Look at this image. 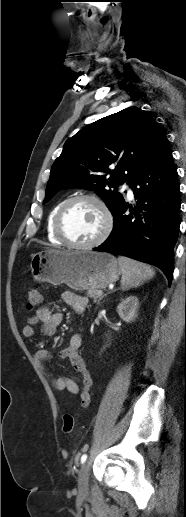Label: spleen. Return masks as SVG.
Listing matches in <instances>:
<instances>
[{
    "instance_id": "spleen-1",
    "label": "spleen",
    "mask_w": 186,
    "mask_h": 517,
    "mask_svg": "<svg viewBox=\"0 0 186 517\" xmlns=\"http://www.w3.org/2000/svg\"><path fill=\"white\" fill-rule=\"evenodd\" d=\"M118 263L122 271L123 289L138 287L155 275V271L149 265L127 257L119 256Z\"/></svg>"
}]
</instances>
